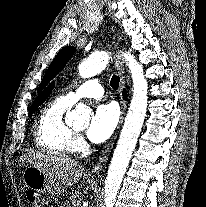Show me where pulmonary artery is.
<instances>
[{
  "mask_svg": "<svg viewBox=\"0 0 206 207\" xmlns=\"http://www.w3.org/2000/svg\"><path fill=\"white\" fill-rule=\"evenodd\" d=\"M104 89L99 78H91L82 83L75 91H71L65 95L66 99L74 104L84 98H101Z\"/></svg>",
  "mask_w": 206,
  "mask_h": 207,
  "instance_id": "1",
  "label": "pulmonary artery"
}]
</instances>
